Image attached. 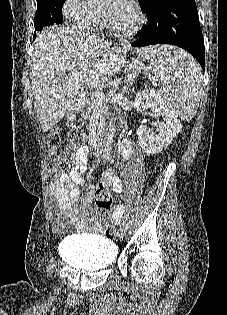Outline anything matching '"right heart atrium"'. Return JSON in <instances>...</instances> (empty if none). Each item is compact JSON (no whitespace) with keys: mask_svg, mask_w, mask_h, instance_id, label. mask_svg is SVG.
Returning a JSON list of instances; mask_svg holds the SVG:
<instances>
[{"mask_svg":"<svg viewBox=\"0 0 227 315\" xmlns=\"http://www.w3.org/2000/svg\"><path fill=\"white\" fill-rule=\"evenodd\" d=\"M61 11L69 25L80 29L89 30L101 22L100 12L86 0H64Z\"/></svg>","mask_w":227,"mask_h":315,"instance_id":"obj_1","label":"right heart atrium"}]
</instances>
